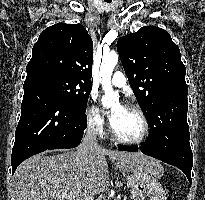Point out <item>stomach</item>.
Listing matches in <instances>:
<instances>
[{"instance_id": "0dacf381", "label": "stomach", "mask_w": 205, "mask_h": 200, "mask_svg": "<svg viewBox=\"0 0 205 200\" xmlns=\"http://www.w3.org/2000/svg\"><path fill=\"white\" fill-rule=\"evenodd\" d=\"M160 170L158 165L155 167ZM130 189L132 200H166L165 191L153 171L134 170L123 172Z\"/></svg>"}]
</instances>
